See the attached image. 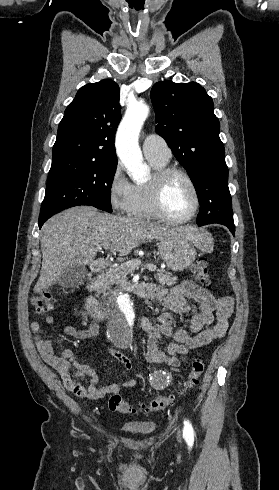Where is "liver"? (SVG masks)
Segmentation results:
<instances>
[{"label":"liver","mask_w":279,"mask_h":490,"mask_svg":"<svg viewBox=\"0 0 279 490\" xmlns=\"http://www.w3.org/2000/svg\"><path fill=\"white\" fill-rule=\"evenodd\" d=\"M42 266L34 292L52 286L68 266L92 264L103 244H110V252L127 256L143 242L165 240L171 234H181L193 240L201 250V230L192 226L167 228L147 224L138 218H122L101 214L91 206L70 208L50 218L42 228Z\"/></svg>","instance_id":"liver-1"}]
</instances>
